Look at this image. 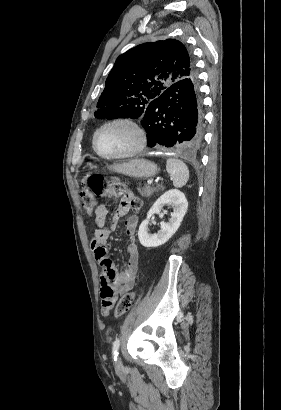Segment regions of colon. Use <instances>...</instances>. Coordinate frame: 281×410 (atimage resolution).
<instances>
[{
  "instance_id": "colon-1",
  "label": "colon",
  "mask_w": 281,
  "mask_h": 410,
  "mask_svg": "<svg viewBox=\"0 0 281 410\" xmlns=\"http://www.w3.org/2000/svg\"><path fill=\"white\" fill-rule=\"evenodd\" d=\"M83 180L84 188L81 192L82 204L87 211H91L95 203V198L104 193L105 180L100 174L92 172L85 174ZM115 191L126 193L123 186H117ZM135 298L136 292H129L123 295L115 307V316L121 317L126 314L133 306ZM102 306L105 311L112 307L110 296L103 302Z\"/></svg>"
}]
</instances>
